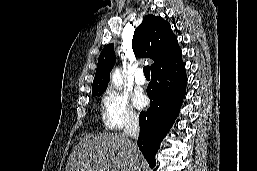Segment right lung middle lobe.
Listing matches in <instances>:
<instances>
[{
  "label": "right lung middle lobe",
  "instance_id": "dd1d6c3e",
  "mask_svg": "<svg viewBox=\"0 0 257 171\" xmlns=\"http://www.w3.org/2000/svg\"><path fill=\"white\" fill-rule=\"evenodd\" d=\"M104 91L98 92V93H93V96H100Z\"/></svg>",
  "mask_w": 257,
  "mask_h": 171
}]
</instances>
